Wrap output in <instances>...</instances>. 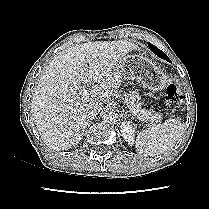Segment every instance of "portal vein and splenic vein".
I'll list each match as a JSON object with an SVG mask.
<instances>
[{
    "mask_svg": "<svg viewBox=\"0 0 209 209\" xmlns=\"http://www.w3.org/2000/svg\"><path fill=\"white\" fill-rule=\"evenodd\" d=\"M78 94L85 99L90 96V92L86 88L81 89V91ZM128 108L130 109V112L132 114H135L137 112L135 109L131 108L130 106H128Z\"/></svg>",
    "mask_w": 209,
    "mask_h": 209,
    "instance_id": "obj_1",
    "label": "portal vein and splenic vein"
}]
</instances>
